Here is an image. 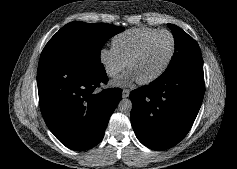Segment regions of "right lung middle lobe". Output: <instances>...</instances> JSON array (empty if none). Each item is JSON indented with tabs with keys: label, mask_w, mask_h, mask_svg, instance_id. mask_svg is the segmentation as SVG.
Segmentation results:
<instances>
[{
	"label": "right lung middle lobe",
	"mask_w": 237,
	"mask_h": 169,
	"mask_svg": "<svg viewBox=\"0 0 237 169\" xmlns=\"http://www.w3.org/2000/svg\"><path fill=\"white\" fill-rule=\"evenodd\" d=\"M124 28L110 24L74 21L62 27L46 44L40 60L101 64L105 42Z\"/></svg>",
	"instance_id": "1"
}]
</instances>
